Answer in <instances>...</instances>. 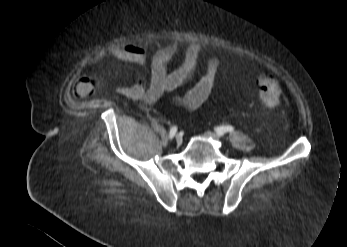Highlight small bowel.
Here are the masks:
<instances>
[{
  "label": "small bowel",
  "mask_w": 347,
  "mask_h": 247,
  "mask_svg": "<svg viewBox=\"0 0 347 247\" xmlns=\"http://www.w3.org/2000/svg\"><path fill=\"white\" fill-rule=\"evenodd\" d=\"M178 51V44L171 42L160 47L150 61V78L146 83L143 78H137L130 85L117 88L118 94L130 100H141L147 104L157 103L164 95L173 92L194 75L197 67L201 45L191 43L187 46L181 64L174 70L168 71L167 66ZM117 60L144 67L147 62L146 51L143 47L134 44L117 47L113 51ZM100 58L93 59L96 64ZM221 65L217 57H210L207 61L205 74L185 94L174 96L171 104L176 108L191 111L199 108L209 98L214 85L221 75ZM270 74V73H264ZM263 75V74H262ZM99 80L83 78L76 84L79 95H87L99 85Z\"/></svg>",
  "instance_id": "small-bowel-1"
}]
</instances>
